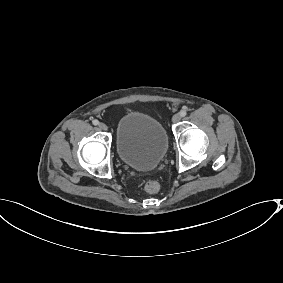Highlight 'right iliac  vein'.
<instances>
[{"mask_svg": "<svg viewBox=\"0 0 283 283\" xmlns=\"http://www.w3.org/2000/svg\"><path fill=\"white\" fill-rule=\"evenodd\" d=\"M99 128L103 131H106L108 129L107 125L105 123H100Z\"/></svg>", "mask_w": 283, "mask_h": 283, "instance_id": "obj_1", "label": "right iliac vein"}]
</instances>
